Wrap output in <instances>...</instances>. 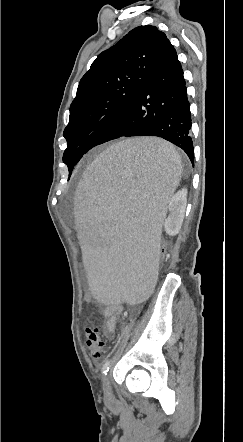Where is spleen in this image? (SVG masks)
<instances>
[{
	"mask_svg": "<svg viewBox=\"0 0 243 442\" xmlns=\"http://www.w3.org/2000/svg\"><path fill=\"white\" fill-rule=\"evenodd\" d=\"M182 161L170 143L129 139L108 148L78 180L74 226L97 302L142 307L159 273L161 226ZM150 192V193H144Z\"/></svg>",
	"mask_w": 243,
	"mask_h": 442,
	"instance_id": "3e777b00",
	"label": "spleen"
}]
</instances>
